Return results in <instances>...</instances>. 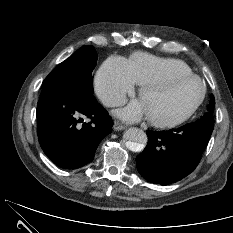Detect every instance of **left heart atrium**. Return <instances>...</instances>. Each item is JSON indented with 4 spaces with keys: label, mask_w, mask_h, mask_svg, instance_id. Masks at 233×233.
<instances>
[{
    "label": "left heart atrium",
    "mask_w": 233,
    "mask_h": 233,
    "mask_svg": "<svg viewBox=\"0 0 233 233\" xmlns=\"http://www.w3.org/2000/svg\"><path fill=\"white\" fill-rule=\"evenodd\" d=\"M114 114L126 122H137L146 115L140 100L132 101L126 107L116 110Z\"/></svg>",
    "instance_id": "1"
}]
</instances>
